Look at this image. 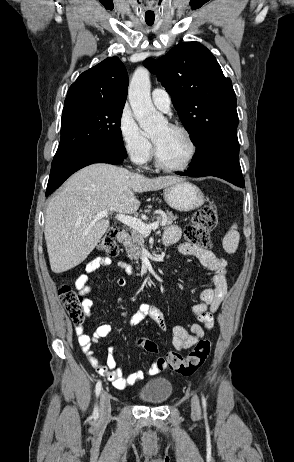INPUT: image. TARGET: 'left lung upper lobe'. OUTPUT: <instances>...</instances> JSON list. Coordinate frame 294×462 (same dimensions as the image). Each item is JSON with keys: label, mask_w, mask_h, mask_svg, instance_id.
Masks as SVG:
<instances>
[{"label": "left lung upper lobe", "mask_w": 294, "mask_h": 462, "mask_svg": "<svg viewBox=\"0 0 294 462\" xmlns=\"http://www.w3.org/2000/svg\"><path fill=\"white\" fill-rule=\"evenodd\" d=\"M146 68L156 74L171 94L184 127L197 147L218 134L236 129V95L230 78L223 75L214 55L198 42L176 45Z\"/></svg>", "instance_id": "left-lung-upper-lobe-1"}]
</instances>
